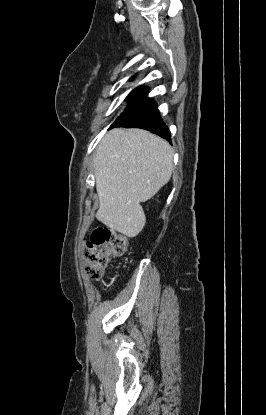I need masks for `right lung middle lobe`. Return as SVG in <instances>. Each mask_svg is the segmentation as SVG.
Wrapping results in <instances>:
<instances>
[{"label": "right lung middle lobe", "instance_id": "1", "mask_svg": "<svg viewBox=\"0 0 266 415\" xmlns=\"http://www.w3.org/2000/svg\"><path fill=\"white\" fill-rule=\"evenodd\" d=\"M144 98V94H139V93H131L129 94V96L127 97V100L129 102V105L127 108L137 104L138 102L142 101Z\"/></svg>", "mask_w": 266, "mask_h": 415}]
</instances>
